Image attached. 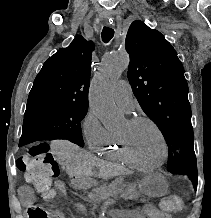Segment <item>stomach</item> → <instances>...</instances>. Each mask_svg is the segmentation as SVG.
<instances>
[{"label": "stomach", "mask_w": 211, "mask_h": 218, "mask_svg": "<svg viewBox=\"0 0 211 218\" xmlns=\"http://www.w3.org/2000/svg\"><path fill=\"white\" fill-rule=\"evenodd\" d=\"M75 182L83 188H89L97 185V182L89 175L76 176ZM139 191L150 197H160L167 193L168 183L165 177L160 173H154L142 179L136 184Z\"/></svg>", "instance_id": "0dacf381"}]
</instances>
